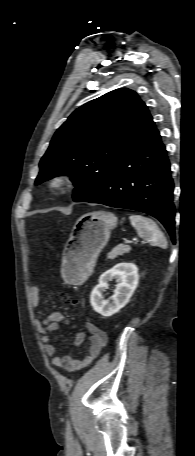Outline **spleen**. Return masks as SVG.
<instances>
[{
    "instance_id": "1",
    "label": "spleen",
    "mask_w": 195,
    "mask_h": 456,
    "mask_svg": "<svg viewBox=\"0 0 195 456\" xmlns=\"http://www.w3.org/2000/svg\"><path fill=\"white\" fill-rule=\"evenodd\" d=\"M129 219L131 225L136 229L137 234L141 238L153 245H158L164 249L167 248V241L164 234L152 219L142 215H130Z\"/></svg>"
}]
</instances>
